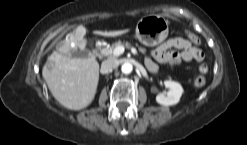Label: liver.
<instances>
[{
    "instance_id": "liver-1",
    "label": "liver",
    "mask_w": 247,
    "mask_h": 145,
    "mask_svg": "<svg viewBox=\"0 0 247 145\" xmlns=\"http://www.w3.org/2000/svg\"><path fill=\"white\" fill-rule=\"evenodd\" d=\"M128 31L126 29L94 33L116 37ZM85 33L86 29L78 26L75 32L68 34L59 51L53 52L47 58L42 69V76L54 98L71 110H81L91 104L99 81V63L95 58H73L70 54L71 49H85Z\"/></svg>"
}]
</instances>
